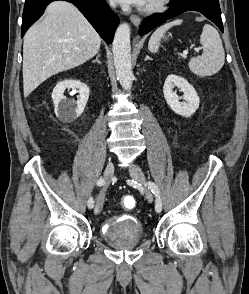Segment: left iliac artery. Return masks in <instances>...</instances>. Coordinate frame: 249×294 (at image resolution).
Wrapping results in <instances>:
<instances>
[{"mask_svg":"<svg viewBox=\"0 0 249 294\" xmlns=\"http://www.w3.org/2000/svg\"><path fill=\"white\" fill-rule=\"evenodd\" d=\"M147 186H148L149 189H151L152 193L156 197L155 210H156L157 213H160L161 210H162V201H161V197H160L159 188L154 182H151V181H149L147 183Z\"/></svg>","mask_w":249,"mask_h":294,"instance_id":"left-iliac-artery-1","label":"left iliac artery"}]
</instances>
